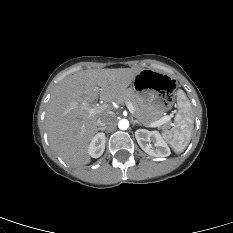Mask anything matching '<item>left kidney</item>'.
Here are the masks:
<instances>
[{
    "instance_id": "obj_1",
    "label": "left kidney",
    "mask_w": 233,
    "mask_h": 233,
    "mask_svg": "<svg viewBox=\"0 0 233 233\" xmlns=\"http://www.w3.org/2000/svg\"><path fill=\"white\" fill-rule=\"evenodd\" d=\"M135 137L142 150L150 156L167 157L170 155V149L158 131L138 129Z\"/></svg>"
}]
</instances>
